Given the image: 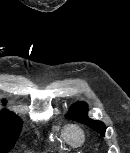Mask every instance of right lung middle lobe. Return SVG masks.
Listing matches in <instances>:
<instances>
[{
  "label": "right lung middle lobe",
  "instance_id": "right-lung-middle-lobe-1",
  "mask_svg": "<svg viewBox=\"0 0 130 153\" xmlns=\"http://www.w3.org/2000/svg\"><path fill=\"white\" fill-rule=\"evenodd\" d=\"M21 128L18 116L0 114V153H8L14 147Z\"/></svg>",
  "mask_w": 130,
  "mask_h": 153
}]
</instances>
